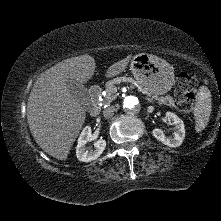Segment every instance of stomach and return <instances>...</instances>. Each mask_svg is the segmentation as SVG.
Segmentation results:
<instances>
[{"label": "stomach", "mask_w": 221, "mask_h": 221, "mask_svg": "<svg viewBox=\"0 0 221 221\" xmlns=\"http://www.w3.org/2000/svg\"><path fill=\"white\" fill-rule=\"evenodd\" d=\"M130 70L135 81L151 94L163 95L172 88L173 67L156 55L148 53L135 55L131 60Z\"/></svg>", "instance_id": "stomach-1"}]
</instances>
